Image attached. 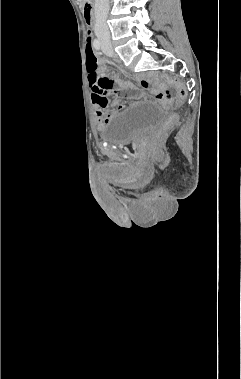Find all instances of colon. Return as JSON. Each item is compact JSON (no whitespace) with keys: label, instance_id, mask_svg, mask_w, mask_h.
I'll use <instances>...</instances> for the list:
<instances>
[{"label":"colon","instance_id":"1","mask_svg":"<svg viewBox=\"0 0 241 379\" xmlns=\"http://www.w3.org/2000/svg\"><path fill=\"white\" fill-rule=\"evenodd\" d=\"M86 65L88 69L87 80L90 82V89H94L99 95L105 94L108 90H114V83L111 80H105L98 75V58L89 40H87L86 46ZM176 85L178 87L177 100L182 101L186 96L185 89L178 83H176ZM157 98L166 106L171 104L173 100V96L169 92H161L157 95ZM176 119L175 115L170 116L159 131L158 137H161L176 122Z\"/></svg>","mask_w":241,"mask_h":379}]
</instances>
